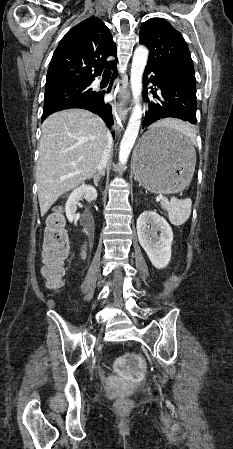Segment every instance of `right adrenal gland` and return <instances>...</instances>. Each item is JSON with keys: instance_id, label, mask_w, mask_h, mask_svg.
I'll return each mask as SVG.
<instances>
[{"instance_id": "right-adrenal-gland-1", "label": "right adrenal gland", "mask_w": 233, "mask_h": 449, "mask_svg": "<svg viewBox=\"0 0 233 449\" xmlns=\"http://www.w3.org/2000/svg\"><path fill=\"white\" fill-rule=\"evenodd\" d=\"M102 176H105V170H101V171H99L96 175H94L93 177H91V178H93V180H94L95 186L98 185V182H99V180H100V178H101ZM91 178H89V179H91Z\"/></svg>"}]
</instances>
